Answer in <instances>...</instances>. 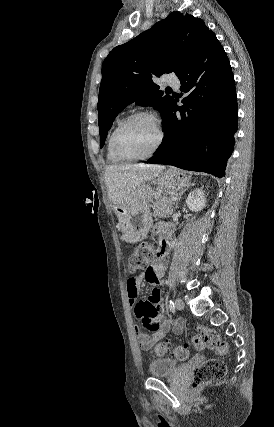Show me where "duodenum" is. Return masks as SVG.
Instances as JSON below:
<instances>
[{
    "mask_svg": "<svg viewBox=\"0 0 274 427\" xmlns=\"http://www.w3.org/2000/svg\"><path fill=\"white\" fill-rule=\"evenodd\" d=\"M171 233H172V228L170 226L162 229L161 243L158 250L159 256L166 255L169 252L170 246H171V239H170Z\"/></svg>",
    "mask_w": 274,
    "mask_h": 427,
    "instance_id": "410a0bca",
    "label": "duodenum"
}]
</instances>
